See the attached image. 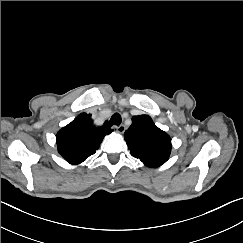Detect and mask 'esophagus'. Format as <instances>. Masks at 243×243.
I'll list each match as a JSON object with an SVG mask.
<instances>
[{"mask_svg": "<svg viewBox=\"0 0 243 243\" xmlns=\"http://www.w3.org/2000/svg\"><path fill=\"white\" fill-rule=\"evenodd\" d=\"M112 128L118 133H123L125 131L124 125H119V126L114 125Z\"/></svg>", "mask_w": 243, "mask_h": 243, "instance_id": "34e87169", "label": "esophagus"}]
</instances>
